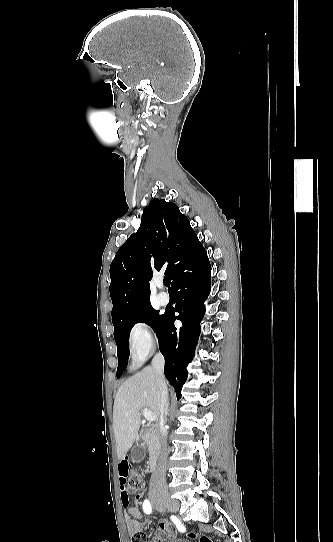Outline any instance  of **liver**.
<instances>
[{
  "instance_id": "liver-1",
  "label": "liver",
  "mask_w": 333,
  "mask_h": 542,
  "mask_svg": "<svg viewBox=\"0 0 333 542\" xmlns=\"http://www.w3.org/2000/svg\"><path fill=\"white\" fill-rule=\"evenodd\" d=\"M143 408L154 412L156 426H159L160 394L156 374L151 366L137 372L117 390L113 408V430L119 462L124 460L137 440L141 424L140 410Z\"/></svg>"
}]
</instances>
